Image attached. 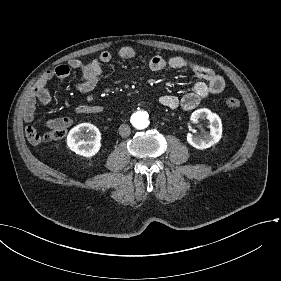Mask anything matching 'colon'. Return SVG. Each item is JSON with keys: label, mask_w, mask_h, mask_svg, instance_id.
Wrapping results in <instances>:
<instances>
[{"label": "colon", "mask_w": 281, "mask_h": 281, "mask_svg": "<svg viewBox=\"0 0 281 281\" xmlns=\"http://www.w3.org/2000/svg\"><path fill=\"white\" fill-rule=\"evenodd\" d=\"M226 104L231 108H237L240 105V101L236 97H228L226 99ZM68 126L69 123L67 121L54 122L52 126V130L45 134V141L62 139L66 135Z\"/></svg>", "instance_id": "obj_1"}]
</instances>
